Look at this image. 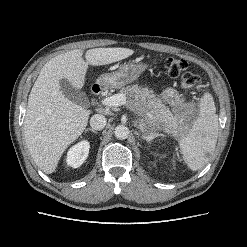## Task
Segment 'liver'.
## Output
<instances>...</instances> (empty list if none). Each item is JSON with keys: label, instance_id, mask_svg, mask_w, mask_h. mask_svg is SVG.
I'll use <instances>...</instances> for the list:
<instances>
[{"label": "liver", "instance_id": "liver-1", "mask_svg": "<svg viewBox=\"0 0 247 247\" xmlns=\"http://www.w3.org/2000/svg\"><path fill=\"white\" fill-rule=\"evenodd\" d=\"M134 53L128 48L75 49L50 59L41 69L27 103L24 135L36 165L46 174L55 171L66 150L86 128L91 111L65 97L60 80L80 90L88 65L101 66L123 60Z\"/></svg>", "mask_w": 247, "mask_h": 247}]
</instances>
